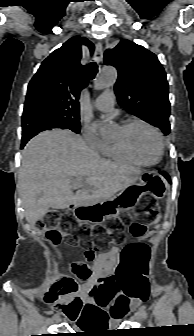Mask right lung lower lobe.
<instances>
[{
    "instance_id": "1",
    "label": "right lung lower lobe",
    "mask_w": 194,
    "mask_h": 336,
    "mask_svg": "<svg viewBox=\"0 0 194 336\" xmlns=\"http://www.w3.org/2000/svg\"><path fill=\"white\" fill-rule=\"evenodd\" d=\"M27 142H23L22 143V145H21V148H23L24 147V145L26 144Z\"/></svg>"
}]
</instances>
